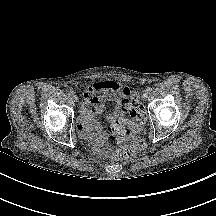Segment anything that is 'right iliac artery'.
<instances>
[{"label":"right iliac artery","mask_w":216,"mask_h":216,"mask_svg":"<svg viewBox=\"0 0 216 216\" xmlns=\"http://www.w3.org/2000/svg\"><path fill=\"white\" fill-rule=\"evenodd\" d=\"M68 94L72 96L74 94V91L73 90H69Z\"/></svg>","instance_id":"82829eb1"}]
</instances>
